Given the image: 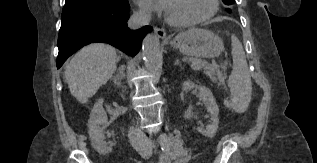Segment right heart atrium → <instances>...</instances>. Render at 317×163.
<instances>
[{
	"label": "right heart atrium",
	"instance_id": "1",
	"mask_svg": "<svg viewBox=\"0 0 317 163\" xmlns=\"http://www.w3.org/2000/svg\"><path fill=\"white\" fill-rule=\"evenodd\" d=\"M137 17H139L140 19H148L149 18V12L146 9H139L136 12Z\"/></svg>",
	"mask_w": 317,
	"mask_h": 163
}]
</instances>
